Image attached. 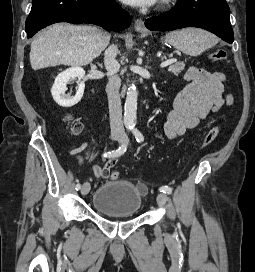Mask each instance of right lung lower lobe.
Masks as SVG:
<instances>
[{
	"instance_id": "1",
	"label": "right lung lower lobe",
	"mask_w": 255,
	"mask_h": 272,
	"mask_svg": "<svg viewBox=\"0 0 255 272\" xmlns=\"http://www.w3.org/2000/svg\"><path fill=\"white\" fill-rule=\"evenodd\" d=\"M57 22L92 23L108 31H120L129 27L130 17L115 0H33L25 31L31 38Z\"/></svg>"
}]
</instances>
